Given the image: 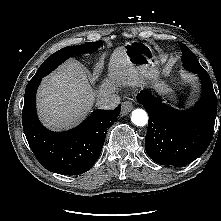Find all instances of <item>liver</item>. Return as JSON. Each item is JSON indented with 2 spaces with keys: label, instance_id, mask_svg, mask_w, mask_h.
<instances>
[{
  "label": "liver",
  "instance_id": "1",
  "mask_svg": "<svg viewBox=\"0 0 221 221\" xmlns=\"http://www.w3.org/2000/svg\"><path fill=\"white\" fill-rule=\"evenodd\" d=\"M109 74L98 93L89 83L84 67L67 62L47 76L37 95V109L42 123L52 130H64L78 124L91 111L94 102L110 95L121 84L136 85L139 69L130 64L122 47L111 55Z\"/></svg>",
  "mask_w": 221,
  "mask_h": 221
}]
</instances>
